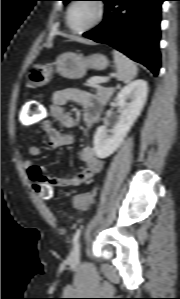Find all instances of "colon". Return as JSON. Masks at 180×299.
<instances>
[{
  "instance_id": "colon-1",
  "label": "colon",
  "mask_w": 180,
  "mask_h": 299,
  "mask_svg": "<svg viewBox=\"0 0 180 299\" xmlns=\"http://www.w3.org/2000/svg\"><path fill=\"white\" fill-rule=\"evenodd\" d=\"M47 115L46 107L43 104L29 102L26 105L25 120L29 123L45 120ZM34 190L44 200H49L53 197L54 190L51 182H36ZM90 202L91 199L88 194H81L74 199V205L78 209H87Z\"/></svg>"
}]
</instances>
